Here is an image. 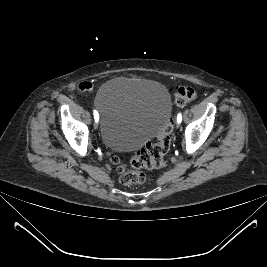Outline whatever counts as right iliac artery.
<instances>
[{
  "label": "right iliac artery",
  "mask_w": 267,
  "mask_h": 267,
  "mask_svg": "<svg viewBox=\"0 0 267 267\" xmlns=\"http://www.w3.org/2000/svg\"><path fill=\"white\" fill-rule=\"evenodd\" d=\"M94 119L95 121H98L99 119L98 113L96 111H94Z\"/></svg>",
  "instance_id": "right-iliac-artery-1"
}]
</instances>
